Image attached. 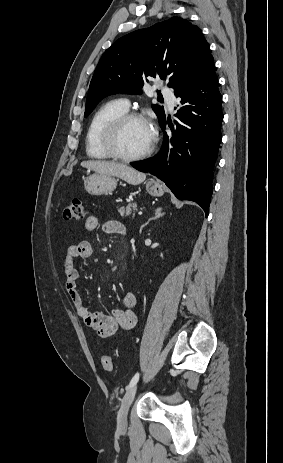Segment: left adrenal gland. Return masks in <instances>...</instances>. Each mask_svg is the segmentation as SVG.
Returning a JSON list of instances; mask_svg holds the SVG:
<instances>
[{
  "mask_svg": "<svg viewBox=\"0 0 283 463\" xmlns=\"http://www.w3.org/2000/svg\"><path fill=\"white\" fill-rule=\"evenodd\" d=\"M164 214H165V212H163V208H161V207L157 208V209L155 210L154 217L149 218V219L147 220V222L144 223V224L141 226L140 229L142 230L145 226H147V225L149 224L150 221L155 220V219H158V218L164 216Z\"/></svg>",
  "mask_w": 283,
  "mask_h": 463,
  "instance_id": "1",
  "label": "left adrenal gland"
}]
</instances>
